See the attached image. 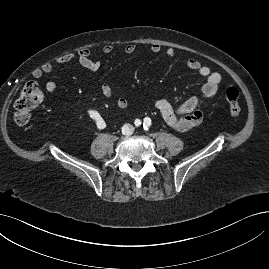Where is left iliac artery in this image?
<instances>
[{
  "label": "left iliac artery",
  "instance_id": "1",
  "mask_svg": "<svg viewBox=\"0 0 269 269\" xmlns=\"http://www.w3.org/2000/svg\"><path fill=\"white\" fill-rule=\"evenodd\" d=\"M151 125V119L146 117L143 122L144 129L148 130V127Z\"/></svg>",
  "mask_w": 269,
  "mask_h": 269
}]
</instances>
